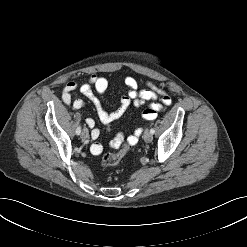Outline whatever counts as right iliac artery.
<instances>
[{
	"mask_svg": "<svg viewBox=\"0 0 247 247\" xmlns=\"http://www.w3.org/2000/svg\"><path fill=\"white\" fill-rule=\"evenodd\" d=\"M80 133H81V126H79V127L76 129V134H77V135H80Z\"/></svg>",
	"mask_w": 247,
	"mask_h": 247,
	"instance_id": "1",
	"label": "right iliac artery"
}]
</instances>
